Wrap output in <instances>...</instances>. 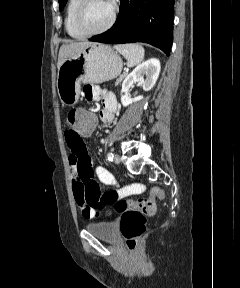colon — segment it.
I'll return each mask as SVG.
<instances>
[{
    "label": "colon",
    "instance_id": "colon-1",
    "mask_svg": "<svg viewBox=\"0 0 240 288\" xmlns=\"http://www.w3.org/2000/svg\"><path fill=\"white\" fill-rule=\"evenodd\" d=\"M65 123L67 130L76 136H81L94 128L96 116L89 110L74 108L66 115ZM156 199H164V193L158 187L151 190L150 198L136 201L121 198L116 190L104 193L89 190L86 194V205L95 209H102L109 204H114L115 211L121 214L120 229L126 246L129 250H134L146 229V217L155 214Z\"/></svg>",
    "mask_w": 240,
    "mask_h": 288
}]
</instances>
